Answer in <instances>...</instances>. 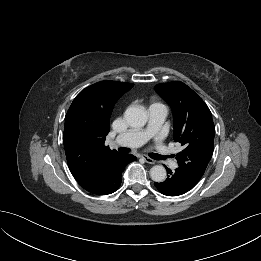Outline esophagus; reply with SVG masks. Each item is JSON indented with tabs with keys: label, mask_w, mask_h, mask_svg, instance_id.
<instances>
[{
	"label": "esophagus",
	"mask_w": 261,
	"mask_h": 261,
	"mask_svg": "<svg viewBox=\"0 0 261 261\" xmlns=\"http://www.w3.org/2000/svg\"><path fill=\"white\" fill-rule=\"evenodd\" d=\"M146 163L148 164H155V161L147 156L143 157Z\"/></svg>",
	"instance_id": "1"
}]
</instances>
